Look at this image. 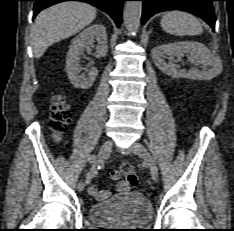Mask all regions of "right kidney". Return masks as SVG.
I'll return each mask as SVG.
<instances>
[{
    "label": "right kidney",
    "mask_w": 234,
    "mask_h": 231,
    "mask_svg": "<svg viewBox=\"0 0 234 231\" xmlns=\"http://www.w3.org/2000/svg\"><path fill=\"white\" fill-rule=\"evenodd\" d=\"M94 37L98 41L96 56L104 57L107 54L106 28L101 24H94L84 29L72 41L66 57V72L72 85L79 89H89L98 75V70L92 67L88 76L80 74L83 68L79 65L81 51L89 49L94 43Z\"/></svg>",
    "instance_id": "obj_1"
}]
</instances>
